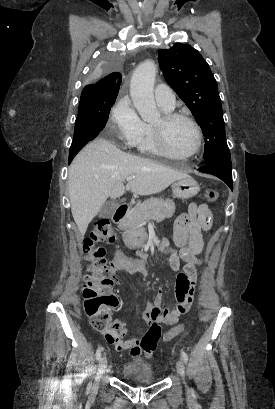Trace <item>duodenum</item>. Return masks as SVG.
<instances>
[{"label":"duodenum","instance_id":"duodenum-1","mask_svg":"<svg viewBox=\"0 0 275 409\" xmlns=\"http://www.w3.org/2000/svg\"><path fill=\"white\" fill-rule=\"evenodd\" d=\"M130 211V206L128 204H121L115 211L113 215V222L115 224H122Z\"/></svg>","mask_w":275,"mask_h":409}]
</instances>
